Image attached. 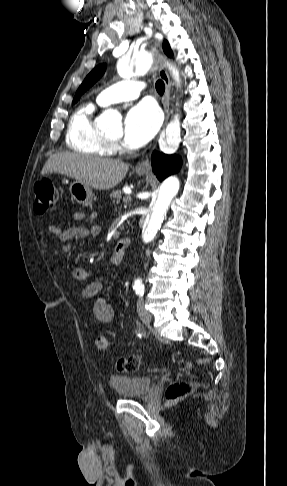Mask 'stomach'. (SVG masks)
<instances>
[{
	"instance_id": "stomach-1",
	"label": "stomach",
	"mask_w": 287,
	"mask_h": 486,
	"mask_svg": "<svg viewBox=\"0 0 287 486\" xmlns=\"http://www.w3.org/2000/svg\"><path fill=\"white\" fill-rule=\"evenodd\" d=\"M138 175H143V173L138 172ZM69 190L72 198L79 204L88 206L92 203L93 194L90 186L74 181L70 184Z\"/></svg>"
}]
</instances>
